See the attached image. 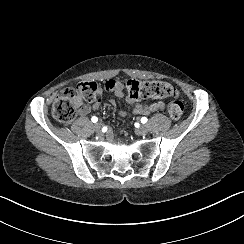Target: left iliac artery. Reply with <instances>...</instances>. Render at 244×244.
I'll list each match as a JSON object with an SVG mask.
<instances>
[{
    "label": "left iliac artery",
    "mask_w": 244,
    "mask_h": 244,
    "mask_svg": "<svg viewBox=\"0 0 244 244\" xmlns=\"http://www.w3.org/2000/svg\"><path fill=\"white\" fill-rule=\"evenodd\" d=\"M147 121H148V119H147L146 117H142V119H141V122H142V123L145 124Z\"/></svg>",
    "instance_id": "1"
}]
</instances>
